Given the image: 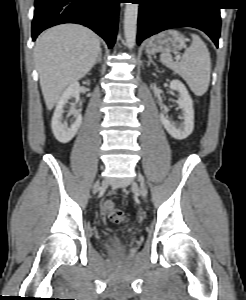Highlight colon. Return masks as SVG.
<instances>
[{
	"label": "colon",
	"instance_id": "obj_1",
	"mask_svg": "<svg viewBox=\"0 0 246 300\" xmlns=\"http://www.w3.org/2000/svg\"><path fill=\"white\" fill-rule=\"evenodd\" d=\"M103 215L114 223L126 222L124 213L111 200H106L103 204Z\"/></svg>",
	"mask_w": 246,
	"mask_h": 300
}]
</instances>
